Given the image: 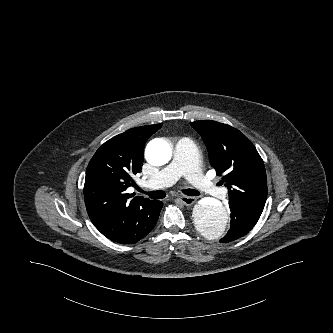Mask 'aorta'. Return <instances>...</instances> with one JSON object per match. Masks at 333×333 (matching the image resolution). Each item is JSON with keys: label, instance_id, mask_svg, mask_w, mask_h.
Returning <instances> with one entry per match:
<instances>
[{"label": "aorta", "instance_id": "762f6f07", "mask_svg": "<svg viewBox=\"0 0 333 333\" xmlns=\"http://www.w3.org/2000/svg\"><path fill=\"white\" fill-rule=\"evenodd\" d=\"M171 156L170 145L162 139L153 140L146 147V159L153 166L166 165ZM193 220L196 229L209 239H217L229 229V214L221 203H198L193 209Z\"/></svg>", "mask_w": 333, "mask_h": 333}]
</instances>
